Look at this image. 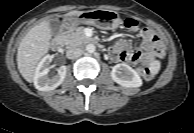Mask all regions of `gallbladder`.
Here are the masks:
<instances>
[{"mask_svg":"<svg viewBox=\"0 0 194 133\" xmlns=\"http://www.w3.org/2000/svg\"><path fill=\"white\" fill-rule=\"evenodd\" d=\"M49 25L53 34L59 35L61 33V23L57 18L50 19Z\"/></svg>","mask_w":194,"mask_h":133,"instance_id":"gallbladder-1","label":"gallbladder"}]
</instances>
